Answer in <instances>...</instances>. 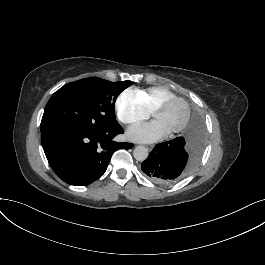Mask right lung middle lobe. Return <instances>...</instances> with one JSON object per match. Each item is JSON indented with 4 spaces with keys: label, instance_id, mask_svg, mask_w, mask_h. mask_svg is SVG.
<instances>
[{
    "label": "right lung middle lobe",
    "instance_id": "dd1d6c3e",
    "mask_svg": "<svg viewBox=\"0 0 265 265\" xmlns=\"http://www.w3.org/2000/svg\"><path fill=\"white\" fill-rule=\"evenodd\" d=\"M131 81L110 82L97 77L68 83L49 99L41 134L62 127L108 129L118 126L114 104Z\"/></svg>",
    "mask_w": 265,
    "mask_h": 265
}]
</instances>
